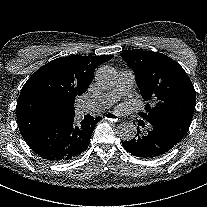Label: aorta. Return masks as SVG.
Segmentation results:
<instances>
[{"label":"aorta","instance_id":"obj_1","mask_svg":"<svg viewBox=\"0 0 207 207\" xmlns=\"http://www.w3.org/2000/svg\"><path fill=\"white\" fill-rule=\"evenodd\" d=\"M118 80L117 71L111 66H101L95 74L96 83L103 89L113 88ZM118 136L124 140H132L136 136V126L131 122L121 123L117 127Z\"/></svg>","mask_w":207,"mask_h":207}]
</instances>
